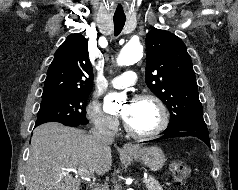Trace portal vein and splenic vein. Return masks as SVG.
<instances>
[{
  "label": "portal vein and splenic vein",
  "mask_w": 238,
  "mask_h": 190,
  "mask_svg": "<svg viewBox=\"0 0 238 190\" xmlns=\"http://www.w3.org/2000/svg\"><path fill=\"white\" fill-rule=\"evenodd\" d=\"M68 171H69V172H74L75 174H77V171H76V170L69 169ZM92 177H93V175L84 176V177H82V178L85 179V180H89V179L92 178ZM144 183H145V184H148V183H149V179L145 180Z\"/></svg>",
  "instance_id": "18ae733b"
}]
</instances>
